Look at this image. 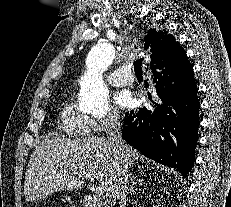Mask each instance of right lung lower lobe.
<instances>
[{
	"label": "right lung lower lobe",
	"instance_id": "1",
	"mask_svg": "<svg viewBox=\"0 0 231 207\" xmlns=\"http://www.w3.org/2000/svg\"><path fill=\"white\" fill-rule=\"evenodd\" d=\"M163 62L151 64L155 96L150 97L148 106L126 114L122 137L148 158L176 168L185 178L194 163L198 140L197 86L189 61Z\"/></svg>",
	"mask_w": 231,
	"mask_h": 207
}]
</instances>
